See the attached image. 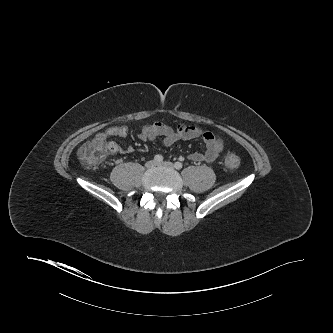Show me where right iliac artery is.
Wrapping results in <instances>:
<instances>
[{
	"label": "right iliac artery",
	"instance_id": "obj_1",
	"mask_svg": "<svg viewBox=\"0 0 333 333\" xmlns=\"http://www.w3.org/2000/svg\"><path fill=\"white\" fill-rule=\"evenodd\" d=\"M154 161H155L156 163H161V162H163V156H162V155H159V154L155 155V156H154Z\"/></svg>",
	"mask_w": 333,
	"mask_h": 333
}]
</instances>
